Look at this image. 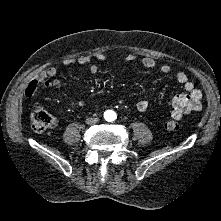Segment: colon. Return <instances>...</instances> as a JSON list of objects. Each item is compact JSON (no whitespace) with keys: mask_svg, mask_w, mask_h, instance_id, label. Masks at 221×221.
<instances>
[{"mask_svg":"<svg viewBox=\"0 0 221 221\" xmlns=\"http://www.w3.org/2000/svg\"><path fill=\"white\" fill-rule=\"evenodd\" d=\"M182 117V116H181ZM180 116L170 119L166 122L165 127L169 131H177L180 128ZM32 127L37 132H43L55 124V118L46 112L41 106H37L31 114Z\"/></svg>","mask_w":221,"mask_h":221,"instance_id":"5ec220e1","label":"colon"}]
</instances>
